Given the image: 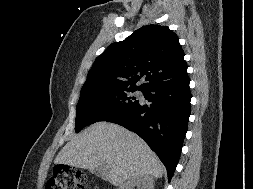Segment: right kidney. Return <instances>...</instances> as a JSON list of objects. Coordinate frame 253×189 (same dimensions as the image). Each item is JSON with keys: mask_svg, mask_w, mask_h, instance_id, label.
Masks as SVG:
<instances>
[{"mask_svg": "<svg viewBox=\"0 0 253 189\" xmlns=\"http://www.w3.org/2000/svg\"><path fill=\"white\" fill-rule=\"evenodd\" d=\"M137 186L139 189H154V180L149 175H138L130 178V180L122 185L118 189H133Z\"/></svg>", "mask_w": 253, "mask_h": 189, "instance_id": "1", "label": "right kidney"}]
</instances>
